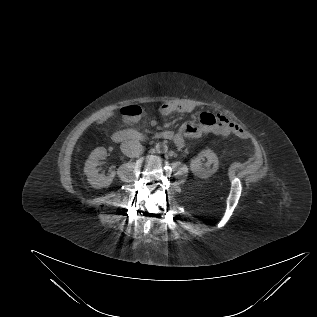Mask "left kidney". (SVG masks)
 Returning <instances> with one entry per match:
<instances>
[{
    "label": "left kidney",
    "mask_w": 317,
    "mask_h": 317,
    "mask_svg": "<svg viewBox=\"0 0 317 317\" xmlns=\"http://www.w3.org/2000/svg\"><path fill=\"white\" fill-rule=\"evenodd\" d=\"M207 159L205 164L202 161ZM212 165V167H210ZM219 167L217 155L210 149L201 151L198 156L191 160L190 170L198 177L206 179L213 175Z\"/></svg>",
    "instance_id": "1"
}]
</instances>
